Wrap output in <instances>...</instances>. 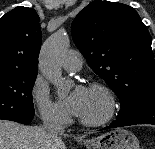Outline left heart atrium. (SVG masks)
Returning <instances> with one entry per match:
<instances>
[{
    "label": "left heart atrium",
    "instance_id": "1",
    "mask_svg": "<svg viewBox=\"0 0 155 149\" xmlns=\"http://www.w3.org/2000/svg\"><path fill=\"white\" fill-rule=\"evenodd\" d=\"M88 89L83 86H77L66 101L69 111L74 115H80L84 107Z\"/></svg>",
    "mask_w": 155,
    "mask_h": 149
}]
</instances>
